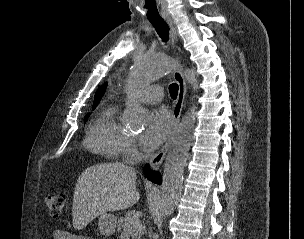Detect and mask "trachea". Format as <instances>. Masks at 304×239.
Masks as SVG:
<instances>
[{"label":"trachea","instance_id":"obj_1","mask_svg":"<svg viewBox=\"0 0 304 239\" xmlns=\"http://www.w3.org/2000/svg\"><path fill=\"white\" fill-rule=\"evenodd\" d=\"M145 5L149 11L147 18L154 26L162 41L167 42L169 39V27L163 20L161 13L158 12V2H156V0H145ZM169 93L172 99H176L178 95V85L175 83L171 84L169 86Z\"/></svg>","mask_w":304,"mask_h":239}]
</instances>
